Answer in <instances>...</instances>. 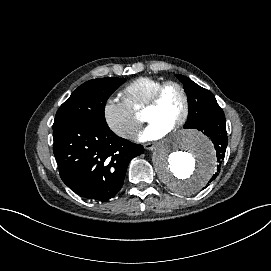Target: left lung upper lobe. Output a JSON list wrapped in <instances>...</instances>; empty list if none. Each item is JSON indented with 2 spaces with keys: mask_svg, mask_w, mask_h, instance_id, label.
Here are the masks:
<instances>
[{
  "mask_svg": "<svg viewBox=\"0 0 271 271\" xmlns=\"http://www.w3.org/2000/svg\"><path fill=\"white\" fill-rule=\"evenodd\" d=\"M176 77L184 84L189 99V114L184 128L195 129L208 113L221 108L211 91L202 88L184 75Z\"/></svg>",
  "mask_w": 271,
  "mask_h": 271,
  "instance_id": "1",
  "label": "left lung upper lobe"
}]
</instances>
